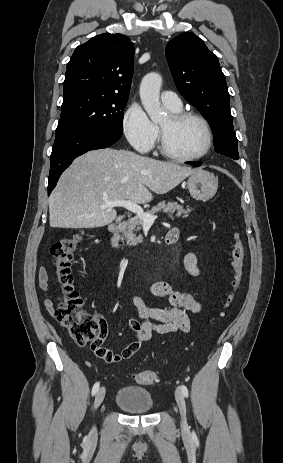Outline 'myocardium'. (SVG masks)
Masks as SVG:
<instances>
[{"mask_svg":"<svg viewBox=\"0 0 283 463\" xmlns=\"http://www.w3.org/2000/svg\"><path fill=\"white\" fill-rule=\"evenodd\" d=\"M169 117H170L171 122L174 124H179L188 119H195L199 121L204 127L205 132H206V144H205L203 151L197 155L180 156L169 149L166 143V140H165L164 132L162 128L159 126V150L161 154L171 160L181 162V163L195 162V161H198L204 158L211 150V147L213 144V132H212V129H211V126L208 120L201 114L197 112H193V111H180L176 113H171Z\"/></svg>","mask_w":283,"mask_h":463,"instance_id":"myocardium-1","label":"myocardium"}]
</instances>
